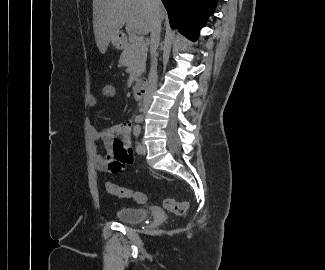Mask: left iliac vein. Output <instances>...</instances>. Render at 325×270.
Here are the masks:
<instances>
[{
	"mask_svg": "<svg viewBox=\"0 0 325 270\" xmlns=\"http://www.w3.org/2000/svg\"><path fill=\"white\" fill-rule=\"evenodd\" d=\"M147 152V147L144 143L141 144V150L138 152L139 154L145 155Z\"/></svg>",
	"mask_w": 325,
	"mask_h": 270,
	"instance_id": "1",
	"label": "left iliac vein"
}]
</instances>
